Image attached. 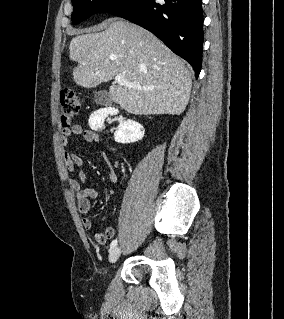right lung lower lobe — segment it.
<instances>
[{
  "label": "right lung lower lobe",
  "instance_id": "obj_1",
  "mask_svg": "<svg viewBox=\"0 0 284 319\" xmlns=\"http://www.w3.org/2000/svg\"><path fill=\"white\" fill-rule=\"evenodd\" d=\"M108 13L149 30L185 59L198 78L202 64V0H131Z\"/></svg>",
  "mask_w": 284,
  "mask_h": 319
}]
</instances>
